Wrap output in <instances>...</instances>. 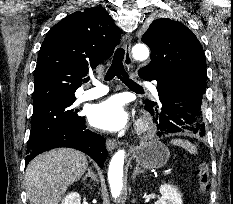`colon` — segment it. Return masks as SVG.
<instances>
[{
    "label": "colon",
    "instance_id": "5ec220e1",
    "mask_svg": "<svg viewBox=\"0 0 233 204\" xmlns=\"http://www.w3.org/2000/svg\"><path fill=\"white\" fill-rule=\"evenodd\" d=\"M196 174L198 176L200 191H207L210 187V172L208 164L206 162L200 163L196 169Z\"/></svg>",
    "mask_w": 233,
    "mask_h": 204
}]
</instances>
